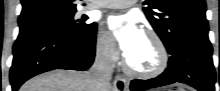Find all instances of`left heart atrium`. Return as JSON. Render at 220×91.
I'll return each mask as SVG.
<instances>
[{"label": "left heart atrium", "instance_id": "left-heart-atrium-1", "mask_svg": "<svg viewBox=\"0 0 220 91\" xmlns=\"http://www.w3.org/2000/svg\"><path fill=\"white\" fill-rule=\"evenodd\" d=\"M107 26L114 35L125 57L135 48L143 36L136 20L128 15H114L107 19Z\"/></svg>", "mask_w": 220, "mask_h": 91}]
</instances>
